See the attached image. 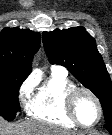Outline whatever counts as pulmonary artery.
I'll use <instances>...</instances> for the list:
<instances>
[{"label": "pulmonary artery", "instance_id": "obj_1", "mask_svg": "<svg viewBox=\"0 0 112 135\" xmlns=\"http://www.w3.org/2000/svg\"><path fill=\"white\" fill-rule=\"evenodd\" d=\"M52 71H57V72H61V73H64V74H67V71L63 68V67H52Z\"/></svg>", "mask_w": 112, "mask_h": 135}]
</instances>
